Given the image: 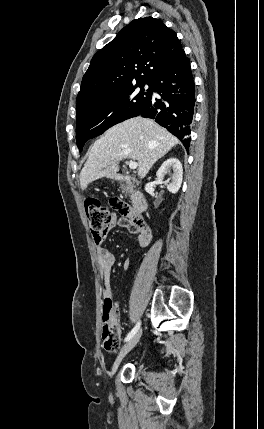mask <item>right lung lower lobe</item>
I'll use <instances>...</instances> for the list:
<instances>
[{
  "label": "right lung lower lobe",
  "instance_id": "1",
  "mask_svg": "<svg viewBox=\"0 0 264 429\" xmlns=\"http://www.w3.org/2000/svg\"><path fill=\"white\" fill-rule=\"evenodd\" d=\"M162 99L150 100L137 116L154 119L189 148L195 105V84L183 51L150 83ZM152 93V92H151Z\"/></svg>",
  "mask_w": 264,
  "mask_h": 429
}]
</instances>
